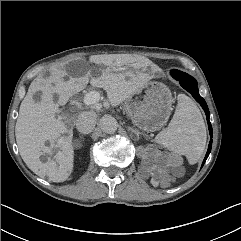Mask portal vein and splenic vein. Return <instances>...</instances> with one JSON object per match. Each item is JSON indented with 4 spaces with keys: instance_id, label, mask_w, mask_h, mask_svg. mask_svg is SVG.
<instances>
[{
    "instance_id": "18ae733b",
    "label": "portal vein and splenic vein",
    "mask_w": 241,
    "mask_h": 241,
    "mask_svg": "<svg viewBox=\"0 0 241 241\" xmlns=\"http://www.w3.org/2000/svg\"><path fill=\"white\" fill-rule=\"evenodd\" d=\"M100 95L98 92L92 91L87 93L83 98V103L87 106L96 105L99 102Z\"/></svg>"
}]
</instances>
